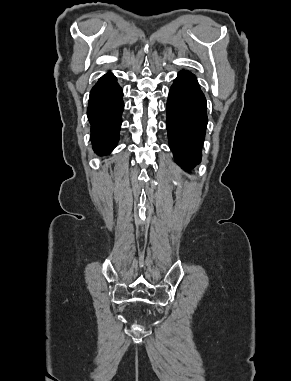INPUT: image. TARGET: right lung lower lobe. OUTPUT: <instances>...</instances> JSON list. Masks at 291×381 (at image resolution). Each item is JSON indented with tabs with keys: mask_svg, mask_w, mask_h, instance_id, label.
<instances>
[{
	"mask_svg": "<svg viewBox=\"0 0 291 381\" xmlns=\"http://www.w3.org/2000/svg\"><path fill=\"white\" fill-rule=\"evenodd\" d=\"M122 96V89L111 73L102 76L90 92L87 115L93 149L99 155L109 154L117 145L124 108Z\"/></svg>",
	"mask_w": 291,
	"mask_h": 381,
	"instance_id": "98d812e1",
	"label": "right lung lower lobe"
}]
</instances>
